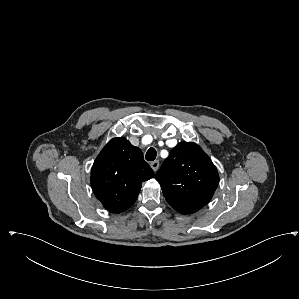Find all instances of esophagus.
<instances>
[{"label": "esophagus", "mask_w": 299, "mask_h": 299, "mask_svg": "<svg viewBox=\"0 0 299 299\" xmlns=\"http://www.w3.org/2000/svg\"><path fill=\"white\" fill-rule=\"evenodd\" d=\"M159 165H160V163H159L158 160H155V161L150 163V166H151V168L153 169L154 172H156L158 170Z\"/></svg>", "instance_id": "esophagus-1"}]
</instances>
